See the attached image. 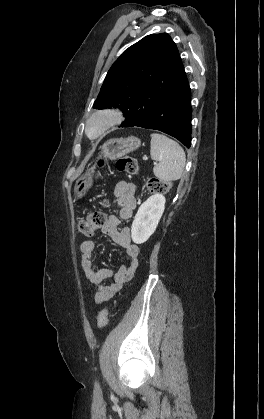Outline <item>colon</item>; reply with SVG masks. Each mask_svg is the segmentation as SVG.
<instances>
[{
    "label": "colon",
    "instance_id": "5ec220e1",
    "mask_svg": "<svg viewBox=\"0 0 264 419\" xmlns=\"http://www.w3.org/2000/svg\"><path fill=\"white\" fill-rule=\"evenodd\" d=\"M104 162H100V166H103ZM116 168L119 172L126 174H136L138 172L137 161L128 156L119 157L115 161ZM147 187L151 193H166L170 188V183L162 181L156 178H151L147 182ZM106 220L105 214L102 211H94L87 214L79 222L80 231L86 235L91 236L99 229L102 228ZM98 327L103 329L109 321L108 310L102 309L98 314Z\"/></svg>",
    "mask_w": 264,
    "mask_h": 419
}]
</instances>
